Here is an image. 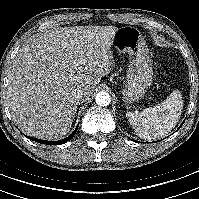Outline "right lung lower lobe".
Segmentation results:
<instances>
[{"mask_svg":"<svg viewBox=\"0 0 199 199\" xmlns=\"http://www.w3.org/2000/svg\"><path fill=\"white\" fill-rule=\"evenodd\" d=\"M78 126L76 127V129L72 132L71 135H69L68 137H66L65 139L59 140V141H45V140H40V139H36V138H32V137H28L29 139L41 143V144H46V145H60L63 144L67 141H69L77 132Z\"/></svg>","mask_w":199,"mask_h":199,"instance_id":"98d812e1","label":"right lung lower lobe"}]
</instances>
